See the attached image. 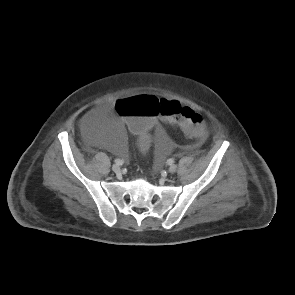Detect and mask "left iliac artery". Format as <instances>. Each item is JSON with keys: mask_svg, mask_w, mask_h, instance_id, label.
I'll return each mask as SVG.
<instances>
[{"mask_svg": "<svg viewBox=\"0 0 295 295\" xmlns=\"http://www.w3.org/2000/svg\"><path fill=\"white\" fill-rule=\"evenodd\" d=\"M167 163H168L169 165H172V164L174 163V159H173V158L168 159V160H167Z\"/></svg>", "mask_w": 295, "mask_h": 295, "instance_id": "44dca946", "label": "left iliac artery"}]
</instances>
